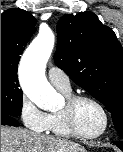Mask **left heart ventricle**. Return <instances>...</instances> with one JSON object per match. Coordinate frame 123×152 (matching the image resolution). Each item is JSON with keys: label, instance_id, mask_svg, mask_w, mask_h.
I'll return each mask as SVG.
<instances>
[{"label": "left heart ventricle", "instance_id": "b2bd125f", "mask_svg": "<svg viewBox=\"0 0 123 152\" xmlns=\"http://www.w3.org/2000/svg\"><path fill=\"white\" fill-rule=\"evenodd\" d=\"M75 120L78 129L86 134L97 133L104 124V118L99 108L88 101H81L77 104Z\"/></svg>", "mask_w": 123, "mask_h": 152}]
</instances>
